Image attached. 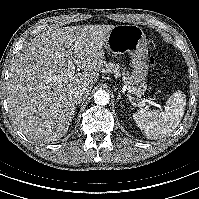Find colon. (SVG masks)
I'll return each mask as SVG.
<instances>
[{
	"label": "colon",
	"instance_id": "1",
	"mask_svg": "<svg viewBox=\"0 0 199 199\" xmlns=\"http://www.w3.org/2000/svg\"><path fill=\"white\" fill-rule=\"evenodd\" d=\"M150 64H151L154 68H156V71H157V72H160V71H161L160 66H159V64H158V59H157V57H156L155 55H152V56L150 57Z\"/></svg>",
	"mask_w": 199,
	"mask_h": 199
}]
</instances>
